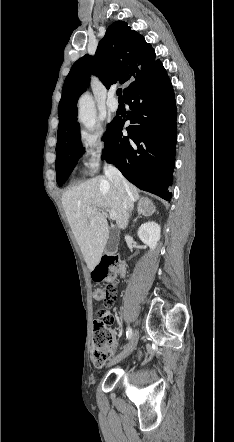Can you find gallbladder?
<instances>
[{
  "mask_svg": "<svg viewBox=\"0 0 234 442\" xmlns=\"http://www.w3.org/2000/svg\"><path fill=\"white\" fill-rule=\"evenodd\" d=\"M115 249H116L115 236H114V234L111 232V233H110V236H109V239H108V242H107V245H106V251H107L108 253H113V252L115 251Z\"/></svg>",
  "mask_w": 234,
  "mask_h": 442,
  "instance_id": "gallbladder-1",
  "label": "gallbladder"
}]
</instances>
